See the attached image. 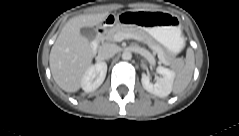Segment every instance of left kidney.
I'll list each match as a JSON object with an SVG mask.
<instances>
[{
  "instance_id": "obj_1",
  "label": "left kidney",
  "mask_w": 239,
  "mask_h": 136,
  "mask_svg": "<svg viewBox=\"0 0 239 136\" xmlns=\"http://www.w3.org/2000/svg\"><path fill=\"white\" fill-rule=\"evenodd\" d=\"M157 73L162 75V77L155 83H152L150 77L145 73L142 74L141 82L146 91L163 98L171 93L176 74L174 71L162 66L157 68Z\"/></svg>"
}]
</instances>
